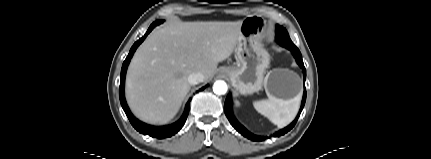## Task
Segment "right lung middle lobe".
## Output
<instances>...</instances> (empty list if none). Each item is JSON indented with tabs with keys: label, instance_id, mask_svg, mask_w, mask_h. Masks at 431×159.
Masks as SVG:
<instances>
[{
	"label": "right lung middle lobe",
	"instance_id": "1",
	"mask_svg": "<svg viewBox=\"0 0 431 159\" xmlns=\"http://www.w3.org/2000/svg\"><path fill=\"white\" fill-rule=\"evenodd\" d=\"M157 22V24H160V23H162L163 22V20H160V21H156Z\"/></svg>",
	"mask_w": 431,
	"mask_h": 159
}]
</instances>
